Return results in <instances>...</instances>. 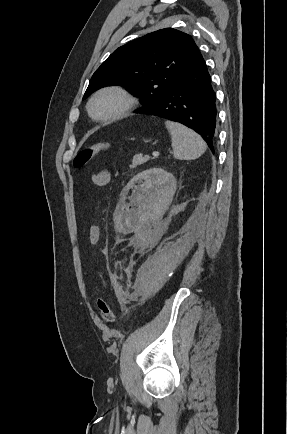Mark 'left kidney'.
I'll list each match as a JSON object with an SVG mask.
<instances>
[{
	"label": "left kidney",
	"instance_id": "obj_1",
	"mask_svg": "<svg viewBox=\"0 0 287 434\" xmlns=\"http://www.w3.org/2000/svg\"><path fill=\"white\" fill-rule=\"evenodd\" d=\"M127 187L133 188L130 200L138 207L132 218L136 222L149 218L153 210L167 208L176 191V179L162 168H151L133 177Z\"/></svg>",
	"mask_w": 287,
	"mask_h": 434
}]
</instances>
